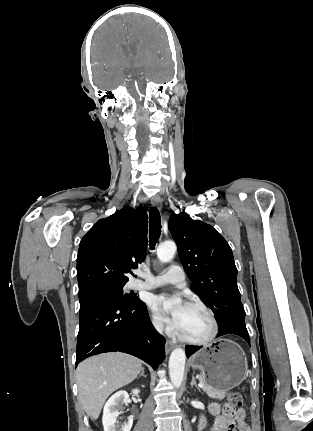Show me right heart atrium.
I'll use <instances>...</instances> for the list:
<instances>
[{
  "label": "right heart atrium",
  "instance_id": "1",
  "mask_svg": "<svg viewBox=\"0 0 313 431\" xmlns=\"http://www.w3.org/2000/svg\"><path fill=\"white\" fill-rule=\"evenodd\" d=\"M151 322H152L154 329L157 330L158 332H164V331L168 330L166 328V326L164 325L163 321L156 316L152 317Z\"/></svg>",
  "mask_w": 313,
  "mask_h": 431
}]
</instances>
